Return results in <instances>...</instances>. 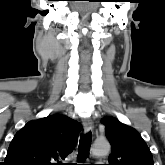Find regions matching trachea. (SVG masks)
I'll return each instance as SVG.
<instances>
[{
    "mask_svg": "<svg viewBox=\"0 0 165 165\" xmlns=\"http://www.w3.org/2000/svg\"><path fill=\"white\" fill-rule=\"evenodd\" d=\"M91 142H92L91 132H88L87 134L81 136L78 147V158H77L78 161L86 160L90 151ZM73 165H77V163H74ZM79 165H84V164H79Z\"/></svg>",
    "mask_w": 165,
    "mask_h": 165,
    "instance_id": "trachea-1",
    "label": "trachea"
}]
</instances>
